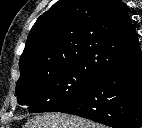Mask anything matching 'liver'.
Wrapping results in <instances>:
<instances>
[{
    "label": "liver",
    "mask_w": 142,
    "mask_h": 128,
    "mask_svg": "<svg viewBox=\"0 0 142 128\" xmlns=\"http://www.w3.org/2000/svg\"><path fill=\"white\" fill-rule=\"evenodd\" d=\"M23 128H103L87 119L74 115L47 113L27 121Z\"/></svg>",
    "instance_id": "liver-1"
}]
</instances>
